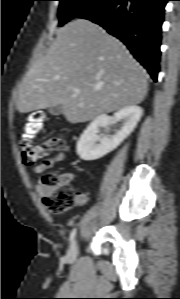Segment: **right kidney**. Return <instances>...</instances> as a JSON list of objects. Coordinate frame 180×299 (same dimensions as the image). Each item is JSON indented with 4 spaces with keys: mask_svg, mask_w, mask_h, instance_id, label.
Segmentation results:
<instances>
[{
    "mask_svg": "<svg viewBox=\"0 0 180 299\" xmlns=\"http://www.w3.org/2000/svg\"><path fill=\"white\" fill-rule=\"evenodd\" d=\"M143 110L133 105L120 109L113 117L102 114L94 119L84 130L77 142V154L82 160L92 161L103 157L113 151L130 135L139 122ZM123 121V126L114 135L99 136V128L107 127L116 122Z\"/></svg>",
    "mask_w": 180,
    "mask_h": 299,
    "instance_id": "right-kidney-1",
    "label": "right kidney"
}]
</instances>
